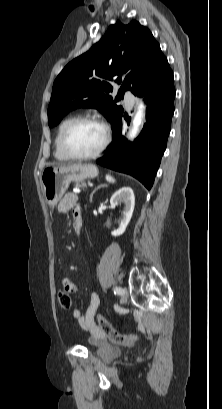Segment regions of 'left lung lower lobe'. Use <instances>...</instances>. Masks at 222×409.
<instances>
[{"label":"left lung lower lobe","mask_w":222,"mask_h":409,"mask_svg":"<svg viewBox=\"0 0 222 409\" xmlns=\"http://www.w3.org/2000/svg\"><path fill=\"white\" fill-rule=\"evenodd\" d=\"M138 96L148 104L146 124L133 143L122 136V114L113 123V142L96 162L109 169L132 175L147 189L153 185L161 157L166 149L174 113L173 72L168 69L147 84Z\"/></svg>","instance_id":"1"}]
</instances>
